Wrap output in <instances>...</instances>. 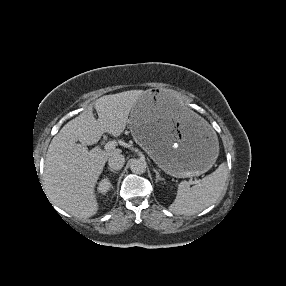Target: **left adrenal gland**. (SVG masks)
I'll return each instance as SVG.
<instances>
[{"mask_svg": "<svg viewBox=\"0 0 286 286\" xmlns=\"http://www.w3.org/2000/svg\"><path fill=\"white\" fill-rule=\"evenodd\" d=\"M153 171L156 173V182L163 181V178H161L159 172L155 169H153Z\"/></svg>", "mask_w": 286, "mask_h": 286, "instance_id": "1", "label": "left adrenal gland"}]
</instances>
